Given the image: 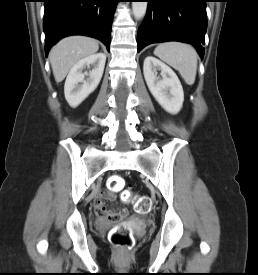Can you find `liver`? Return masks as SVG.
I'll return each mask as SVG.
<instances>
[{
  "instance_id": "6515ba94",
  "label": "liver",
  "mask_w": 258,
  "mask_h": 275,
  "mask_svg": "<svg viewBox=\"0 0 258 275\" xmlns=\"http://www.w3.org/2000/svg\"><path fill=\"white\" fill-rule=\"evenodd\" d=\"M98 49V42L89 37L71 36L59 41L49 55L56 82H61L78 61L95 54Z\"/></svg>"
}]
</instances>
